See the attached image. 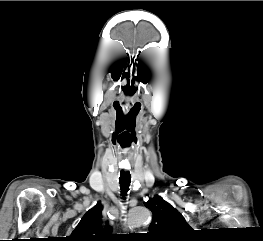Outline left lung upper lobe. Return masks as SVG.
<instances>
[{
  "label": "left lung upper lobe",
  "mask_w": 263,
  "mask_h": 241,
  "mask_svg": "<svg viewBox=\"0 0 263 241\" xmlns=\"http://www.w3.org/2000/svg\"><path fill=\"white\" fill-rule=\"evenodd\" d=\"M153 213L148 237L155 241H189L193 229L180 214L162 197L156 195L145 202Z\"/></svg>",
  "instance_id": "5c2ea615"
}]
</instances>
